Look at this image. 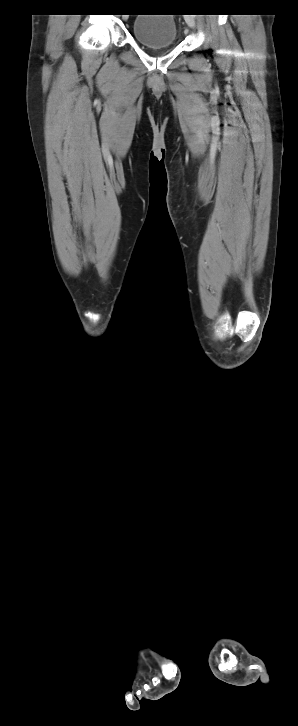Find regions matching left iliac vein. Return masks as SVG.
<instances>
[{
    "mask_svg": "<svg viewBox=\"0 0 298 726\" xmlns=\"http://www.w3.org/2000/svg\"><path fill=\"white\" fill-rule=\"evenodd\" d=\"M185 21H186L187 25L190 28H194L195 27V20H194V17L193 16H191V15L190 16H187L185 18ZM185 33H188V31L186 30Z\"/></svg>",
    "mask_w": 298,
    "mask_h": 726,
    "instance_id": "4c4485c4",
    "label": "left iliac vein"
}]
</instances>
